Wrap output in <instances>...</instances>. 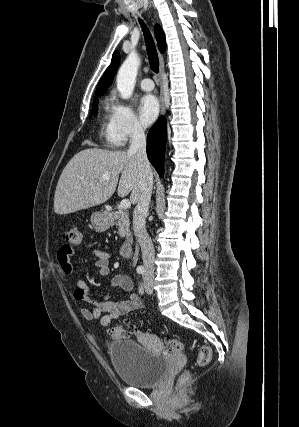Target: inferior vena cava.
Returning <instances> with one entry per match:
<instances>
[{
    "instance_id": "obj_1",
    "label": "inferior vena cava",
    "mask_w": 299,
    "mask_h": 427,
    "mask_svg": "<svg viewBox=\"0 0 299 427\" xmlns=\"http://www.w3.org/2000/svg\"><path fill=\"white\" fill-rule=\"evenodd\" d=\"M128 152L135 154L140 175V197L133 213V230L142 251L146 275L154 274V246L149 237L145 220L153 189V174L146 154V137L140 126L133 129Z\"/></svg>"
}]
</instances>
